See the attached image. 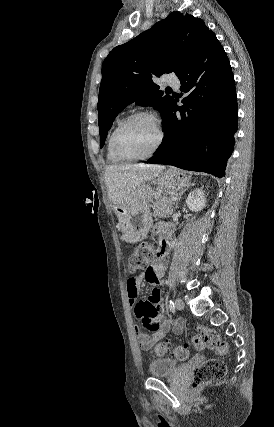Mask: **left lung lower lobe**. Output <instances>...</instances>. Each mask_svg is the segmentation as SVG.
Instances as JSON below:
<instances>
[{
	"label": "left lung lower lobe",
	"mask_w": 274,
	"mask_h": 427,
	"mask_svg": "<svg viewBox=\"0 0 274 427\" xmlns=\"http://www.w3.org/2000/svg\"><path fill=\"white\" fill-rule=\"evenodd\" d=\"M178 78L183 105L170 103L163 117L165 138L146 163L221 178L233 151L238 112L230 63L216 36L202 45Z\"/></svg>",
	"instance_id": "obj_1"
}]
</instances>
